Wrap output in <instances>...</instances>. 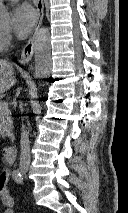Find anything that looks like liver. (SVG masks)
Listing matches in <instances>:
<instances>
[{
	"mask_svg": "<svg viewBox=\"0 0 128 213\" xmlns=\"http://www.w3.org/2000/svg\"><path fill=\"white\" fill-rule=\"evenodd\" d=\"M16 83L13 66L0 59V94L9 90Z\"/></svg>",
	"mask_w": 128,
	"mask_h": 213,
	"instance_id": "liver-1",
	"label": "liver"
}]
</instances>
